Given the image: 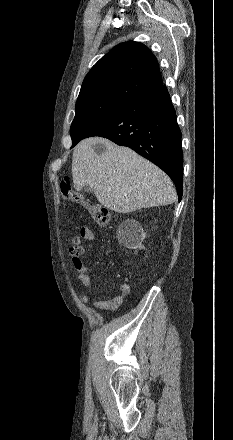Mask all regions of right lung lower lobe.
<instances>
[{"label":"right lung lower lobe","instance_id":"obj_1","mask_svg":"<svg viewBox=\"0 0 233 440\" xmlns=\"http://www.w3.org/2000/svg\"><path fill=\"white\" fill-rule=\"evenodd\" d=\"M101 136L127 146L165 171L173 180L179 201L183 193L181 131L165 85L130 101L87 137Z\"/></svg>","mask_w":233,"mask_h":440}]
</instances>
